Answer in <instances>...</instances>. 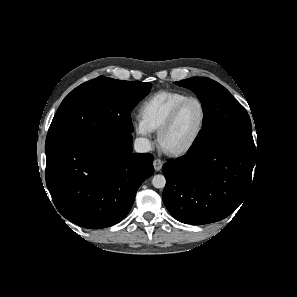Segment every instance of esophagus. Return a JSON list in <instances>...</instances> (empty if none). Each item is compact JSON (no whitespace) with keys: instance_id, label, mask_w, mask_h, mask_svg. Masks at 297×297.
I'll return each mask as SVG.
<instances>
[{"instance_id":"esophagus-1","label":"esophagus","mask_w":297,"mask_h":297,"mask_svg":"<svg viewBox=\"0 0 297 297\" xmlns=\"http://www.w3.org/2000/svg\"><path fill=\"white\" fill-rule=\"evenodd\" d=\"M153 166H154L155 171H160L163 166V161L160 159H155L153 162Z\"/></svg>"}]
</instances>
